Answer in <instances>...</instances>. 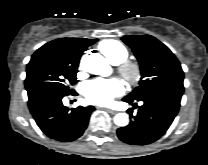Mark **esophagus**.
<instances>
[{
	"mask_svg": "<svg viewBox=\"0 0 208 165\" xmlns=\"http://www.w3.org/2000/svg\"><path fill=\"white\" fill-rule=\"evenodd\" d=\"M104 110H106L108 113H111V114H116L117 113V111L109 109V108H104Z\"/></svg>",
	"mask_w": 208,
	"mask_h": 165,
	"instance_id": "esophagus-1",
	"label": "esophagus"
}]
</instances>
